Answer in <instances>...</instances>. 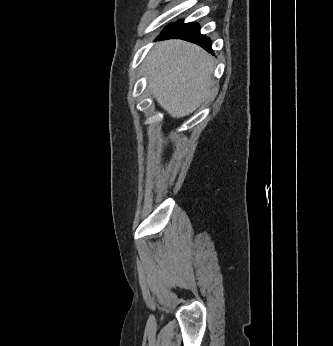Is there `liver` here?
<instances>
[{"label":"liver","instance_id":"obj_1","mask_svg":"<svg viewBox=\"0 0 333 346\" xmlns=\"http://www.w3.org/2000/svg\"><path fill=\"white\" fill-rule=\"evenodd\" d=\"M146 62L152 95L174 118L194 112L211 93L213 57L197 45L162 41Z\"/></svg>","mask_w":333,"mask_h":346}]
</instances>
